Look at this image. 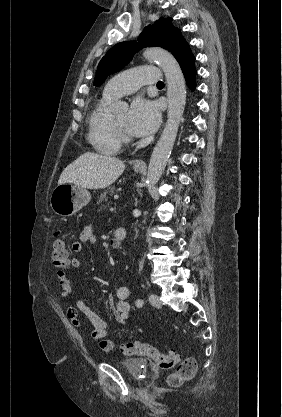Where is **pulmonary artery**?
I'll list each match as a JSON object with an SVG mask.
<instances>
[{"mask_svg": "<svg viewBox=\"0 0 282 417\" xmlns=\"http://www.w3.org/2000/svg\"><path fill=\"white\" fill-rule=\"evenodd\" d=\"M160 65H141L113 77L105 86L103 95L112 99L136 91L148 83H160Z\"/></svg>", "mask_w": 282, "mask_h": 417, "instance_id": "1", "label": "pulmonary artery"}]
</instances>
